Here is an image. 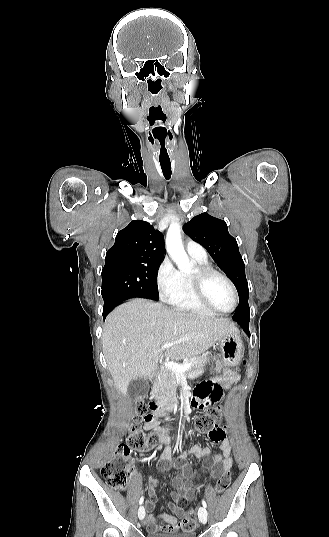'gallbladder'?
I'll return each instance as SVG.
<instances>
[{
  "instance_id": "bac80fb5",
  "label": "gallbladder",
  "mask_w": 329,
  "mask_h": 537,
  "mask_svg": "<svg viewBox=\"0 0 329 537\" xmlns=\"http://www.w3.org/2000/svg\"><path fill=\"white\" fill-rule=\"evenodd\" d=\"M148 390V381L143 376L138 377L130 382L127 388V394L136 398L140 395H144Z\"/></svg>"
}]
</instances>
